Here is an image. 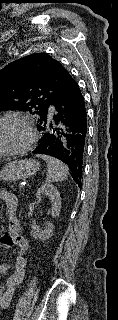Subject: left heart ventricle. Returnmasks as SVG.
I'll return each mask as SVG.
<instances>
[{
  "label": "left heart ventricle",
  "mask_w": 118,
  "mask_h": 320,
  "mask_svg": "<svg viewBox=\"0 0 118 320\" xmlns=\"http://www.w3.org/2000/svg\"><path fill=\"white\" fill-rule=\"evenodd\" d=\"M25 136L23 126L15 121L0 124V149L18 146Z\"/></svg>",
  "instance_id": "obj_1"
}]
</instances>
